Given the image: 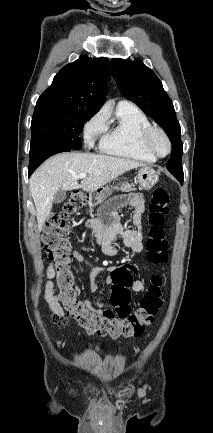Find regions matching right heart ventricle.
Here are the masks:
<instances>
[{
	"mask_svg": "<svg viewBox=\"0 0 213 433\" xmlns=\"http://www.w3.org/2000/svg\"><path fill=\"white\" fill-rule=\"evenodd\" d=\"M149 126V119L138 107L126 101L120 102L114 122H105L100 151L112 156L155 162L156 157L147 152L141 143L142 132Z\"/></svg>",
	"mask_w": 213,
	"mask_h": 433,
	"instance_id": "1",
	"label": "right heart ventricle"
}]
</instances>
